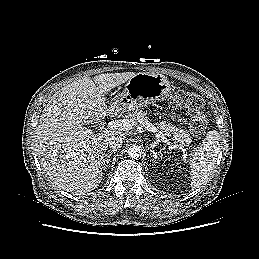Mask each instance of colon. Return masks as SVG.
Returning <instances> with one entry per match:
<instances>
[{"label": "colon", "instance_id": "colon-1", "mask_svg": "<svg viewBox=\"0 0 259 259\" xmlns=\"http://www.w3.org/2000/svg\"><path fill=\"white\" fill-rule=\"evenodd\" d=\"M174 102L189 112V126L192 133L195 136L204 134L207 128V115L204 110L203 99L195 93L178 90L175 93Z\"/></svg>", "mask_w": 259, "mask_h": 259}]
</instances>
